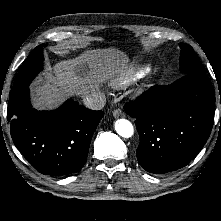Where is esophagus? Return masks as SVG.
<instances>
[{"mask_svg": "<svg viewBox=\"0 0 221 221\" xmlns=\"http://www.w3.org/2000/svg\"><path fill=\"white\" fill-rule=\"evenodd\" d=\"M125 114L121 109H116L113 111V116L115 118L123 117Z\"/></svg>", "mask_w": 221, "mask_h": 221, "instance_id": "esophagus-1", "label": "esophagus"}]
</instances>
